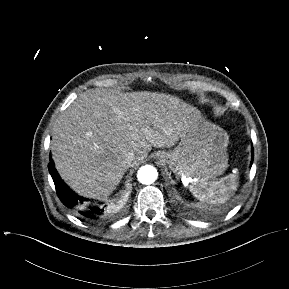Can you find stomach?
I'll list each match as a JSON object with an SVG mask.
<instances>
[{
  "mask_svg": "<svg viewBox=\"0 0 289 289\" xmlns=\"http://www.w3.org/2000/svg\"><path fill=\"white\" fill-rule=\"evenodd\" d=\"M228 143L227 132L206 121L195 110L181 133L179 144L172 151L162 152L163 161L177 177L215 179L228 166Z\"/></svg>",
  "mask_w": 289,
  "mask_h": 289,
  "instance_id": "0dacf381",
  "label": "stomach"
}]
</instances>
